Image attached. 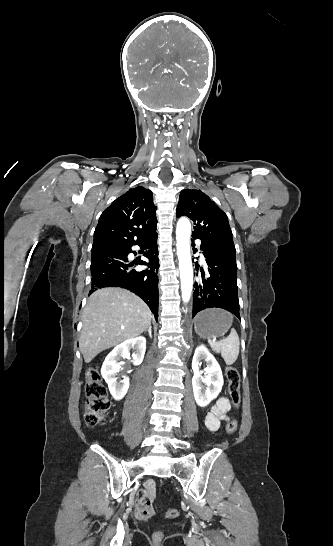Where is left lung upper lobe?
Masks as SVG:
<instances>
[{
    "mask_svg": "<svg viewBox=\"0 0 333 546\" xmlns=\"http://www.w3.org/2000/svg\"><path fill=\"white\" fill-rule=\"evenodd\" d=\"M176 212L177 217L187 216L193 221L195 227L192 236L235 256L236 250L227 215L201 190L181 191ZM228 270V265L224 264L218 269L220 273Z\"/></svg>",
    "mask_w": 333,
    "mask_h": 546,
    "instance_id": "5c2ea615",
    "label": "left lung upper lobe"
}]
</instances>
